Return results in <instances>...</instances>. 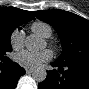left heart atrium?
I'll return each instance as SVG.
<instances>
[{"label": "left heart atrium", "mask_w": 89, "mask_h": 89, "mask_svg": "<svg viewBox=\"0 0 89 89\" xmlns=\"http://www.w3.org/2000/svg\"><path fill=\"white\" fill-rule=\"evenodd\" d=\"M52 58L50 50H43L38 53L30 51H21L15 55V61L26 68H37L42 63L49 61Z\"/></svg>", "instance_id": "left-heart-atrium-1"}]
</instances>
